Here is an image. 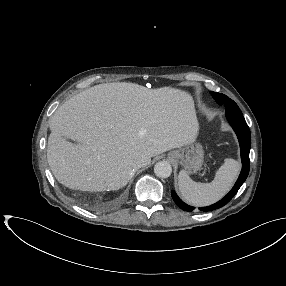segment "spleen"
Listing matches in <instances>:
<instances>
[{"mask_svg": "<svg viewBox=\"0 0 286 286\" xmlns=\"http://www.w3.org/2000/svg\"><path fill=\"white\" fill-rule=\"evenodd\" d=\"M240 171L238 161L227 158L210 183L193 181L185 171L179 173V191L190 205L208 206L223 198L232 188Z\"/></svg>", "mask_w": 286, "mask_h": 286, "instance_id": "1", "label": "spleen"}]
</instances>
